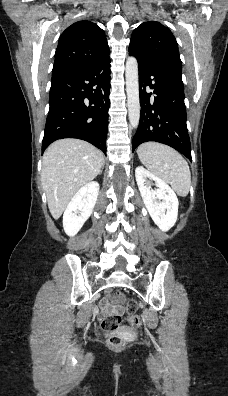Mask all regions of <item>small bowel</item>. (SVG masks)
Listing matches in <instances>:
<instances>
[{
  "label": "small bowel",
  "mask_w": 228,
  "mask_h": 396,
  "mask_svg": "<svg viewBox=\"0 0 228 396\" xmlns=\"http://www.w3.org/2000/svg\"><path fill=\"white\" fill-rule=\"evenodd\" d=\"M100 307H101L103 314H112V313L120 314L123 312L122 307L111 305L107 299L102 300L100 302Z\"/></svg>",
  "instance_id": "1"
}]
</instances>
